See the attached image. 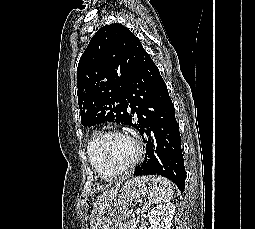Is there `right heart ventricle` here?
Segmentation results:
<instances>
[{"instance_id":"1","label":"right heart ventricle","mask_w":255,"mask_h":229,"mask_svg":"<svg viewBox=\"0 0 255 229\" xmlns=\"http://www.w3.org/2000/svg\"><path fill=\"white\" fill-rule=\"evenodd\" d=\"M99 132L94 130L87 142V157L93 170L103 179H113L120 173L114 172L107 168L96 156L94 152V145L99 137Z\"/></svg>"}]
</instances>
